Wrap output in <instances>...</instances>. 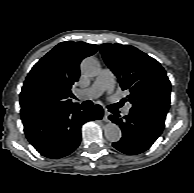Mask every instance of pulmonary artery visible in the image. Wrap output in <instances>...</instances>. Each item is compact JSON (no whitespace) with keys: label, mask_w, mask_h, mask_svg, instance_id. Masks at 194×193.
I'll return each instance as SVG.
<instances>
[{"label":"pulmonary artery","mask_w":194,"mask_h":193,"mask_svg":"<svg viewBox=\"0 0 194 193\" xmlns=\"http://www.w3.org/2000/svg\"><path fill=\"white\" fill-rule=\"evenodd\" d=\"M114 75L113 73L105 68L101 71L99 76L96 78L92 86L88 89L79 90L77 93L79 96L88 97V98H97L104 91L112 90L114 87ZM130 105H127L123 108V113L128 115L130 112Z\"/></svg>","instance_id":"obj_1"}]
</instances>
